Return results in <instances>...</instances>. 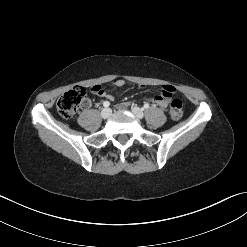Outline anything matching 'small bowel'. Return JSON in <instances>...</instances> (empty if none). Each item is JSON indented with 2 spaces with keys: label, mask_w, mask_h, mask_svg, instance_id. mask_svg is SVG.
Returning a JSON list of instances; mask_svg holds the SVG:
<instances>
[{
  "label": "small bowel",
  "mask_w": 247,
  "mask_h": 247,
  "mask_svg": "<svg viewBox=\"0 0 247 247\" xmlns=\"http://www.w3.org/2000/svg\"><path fill=\"white\" fill-rule=\"evenodd\" d=\"M113 85H114L115 87H117V88H120V87H123V86L125 85V81H124L123 79H117V80H115V81L113 82ZM96 86H97V85H94V86L91 88V89H92V92H93L95 95L100 96V97H104V98H107V99H110V100H112V99L114 98V96H113L112 94H110V93H108L107 91H105L102 87H101V88H96ZM140 87H141V88H144L143 85H141ZM163 87H164V88H171V91H172V94H173V92H174L173 86H171V85H165V86H163ZM172 94H170V95H167V94H166V96H165L164 98H161V99H163V102L158 101V98H156V97L154 96V94L150 96V99H151L152 102L156 103V104L159 105L160 107L166 108V107L168 106V104H169V100H170V97H171ZM88 105H89V101H86V102H85V106H88ZM126 106H127V103H126V102H122V103H120V104L118 105V107H119L120 109H123V108H125Z\"/></svg>",
  "instance_id": "small-bowel-1"
}]
</instances>
